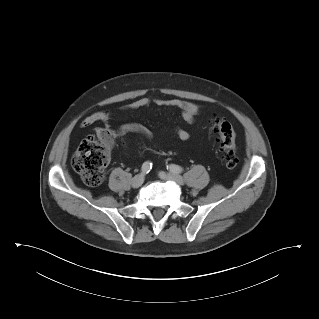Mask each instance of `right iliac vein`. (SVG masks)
Masks as SVG:
<instances>
[{
  "label": "right iliac vein",
  "instance_id": "1",
  "mask_svg": "<svg viewBox=\"0 0 319 319\" xmlns=\"http://www.w3.org/2000/svg\"><path fill=\"white\" fill-rule=\"evenodd\" d=\"M143 182H144V175L138 174L132 179V187L138 188L143 184Z\"/></svg>",
  "mask_w": 319,
  "mask_h": 319
}]
</instances>
